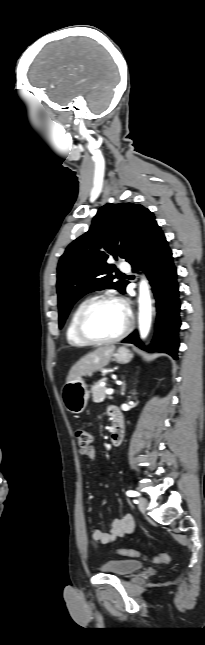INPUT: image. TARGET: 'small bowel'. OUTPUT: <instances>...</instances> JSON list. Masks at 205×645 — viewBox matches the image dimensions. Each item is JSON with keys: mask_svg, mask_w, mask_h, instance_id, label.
<instances>
[{"mask_svg": "<svg viewBox=\"0 0 205 645\" xmlns=\"http://www.w3.org/2000/svg\"><path fill=\"white\" fill-rule=\"evenodd\" d=\"M79 453L89 460L96 459V450L94 447L82 448ZM135 523L131 515H124L120 518H115L110 524L107 531L101 529H94L90 534V542L94 545L100 543L107 545L115 541L117 538L123 537L134 531Z\"/></svg>", "mask_w": 205, "mask_h": 645, "instance_id": "obj_1", "label": "small bowel"}]
</instances>
